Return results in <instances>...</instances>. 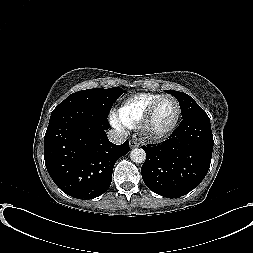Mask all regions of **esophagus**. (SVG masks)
Wrapping results in <instances>:
<instances>
[{
  "mask_svg": "<svg viewBox=\"0 0 253 253\" xmlns=\"http://www.w3.org/2000/svg\"><path fill=\"white\" fill-rule=\"evenodd\" d=\"M130 148H136L139 147V143H137L135 140H130Z\"/></svg>",
  "mask_w": 253,
  "mask_h": 253,
  "instance_id": "1",
  "label": "esophagus"
}]
</instances>
